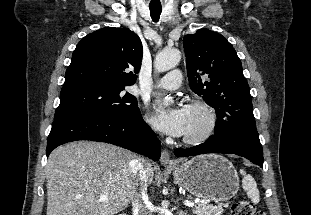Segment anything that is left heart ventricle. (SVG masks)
<instances>
[{"instance_id": "1", "label": "left heart ventricle", "mask_w": 311, "mask_h": 215, "mask_svg": "<svg viewBox=\"0 0 311 215\" xmlns=\"http://www.w3.org/2000/svg\"><path fill=\"white\" fill-rule=\"evenodd\" d=\"M187 128L184 136H192L199 134L205 127L206 124V118L205 115L195 109H187Z\"/></svg>"}]
</instances>
